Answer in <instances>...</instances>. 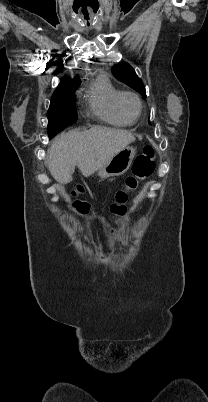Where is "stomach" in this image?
Returning <instances> with one entry per match:
<instances>
[{"instance_id": "1", "label": "stomach", "mask_w": 208, "mask_h": 402, "mask_svg": "<svg viewBox=\"0 0 208 402\" xmlns=\"http://www.w3.org/2000/svg\"><path fill=\"white\" fill-rule=\"evenodd\" d=\"M135 154L136 150H134V148H131V146H125L123 150H120L118 154L112 156L111 160L98 170L97 176H100V178L122 176V174H125V172L129 170Z\"/></svg>"}]
</instances>
